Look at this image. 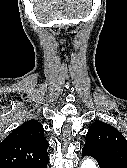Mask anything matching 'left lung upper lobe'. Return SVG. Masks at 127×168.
I'll return each mask as SVG.
<instances>
[{"label":"left lung upper lobe","instance_id":"left-lung-upper-lobe-1","mask_svg":"<svg viewBox=\"0 0 127 168\" xmlns=\"http://www.w3.org/2000/svg\"><path fill=\"white\" fill-rule=\"evenodd\" d=\"M85 146L107 150L121 168H127V140L113 126L95 121L87 132Z\"/></svg>","mask_w":127,"mask_h":168}]
</instances>
